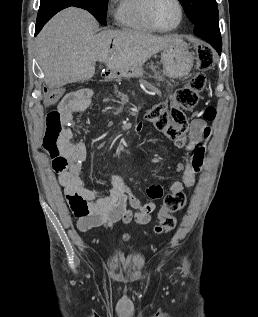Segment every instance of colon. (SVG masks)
<instances>
[{
	"label": "colon",
	"mask_w": 258,
	"mask_h": 317,
	"mask_svg": "<svg viewBox=\"0 0 258 317\" xmlns=\"http://www.w3.org/2000/svg\"><path fill=\"white\" fill-rule=\"evenodd\" d=\"M215 55L209 48L202 47L197 51V68L199 72L194 75L188 85L177 90L173 102L155 104L146 113V119L154 128L172 140L183 137L188 130V118L186 111L194 109L201 93L206 87L204 72L213 68ZM57 94H51L49 102H56ZM205 120L211 121L215 117L213 107L205 108L203 112ZM69 121L67 116L58 108L50 111L46 119V131L44 136V148L50 153H58L68 140ZM186 206V197L182 192L170 193L165 196L163 206L159 212V223L155 232L164 234L176 225L173 214L182 211Z\"/></svg>",
	"instance_id": "1"
}]
</instances>
